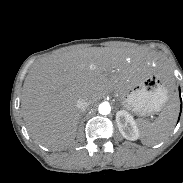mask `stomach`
I'll use <instances>...</instances> for the list:
<instances>
[{
    "label": "stomach",
    "mask_w": 183,
    "mask_h": 183,
    "mask_svg": "<svg viewBox=\"0 0 183 183\" xmlns=\"http://www.w3.org/2000/svg\"><path fill=\"white\" fill-rule=\"evenodd\" d=\"M123 106L146 116L159 112L168 101V86L150 64L142 67L121 93Z\"/></svg>",
    "instance_id": "obj_1"
}]
</instances>
